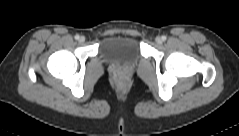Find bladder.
<instances>
[{"label": "bladder", "instance_id": "31cf9c89", "mask_svg": "<svg viewBox=\"0 0 239 136\" xmlns=\"http://www.w3.org/2000/svg\"><path fill=\"white\" fill-rule=\"evenodd\" d=\"M104 62L133 65L141 58V45L132 35H111L105 37L99 49Z\"/></svg>", "mask_w": 239, "mask_h": 136}]
</instances>
